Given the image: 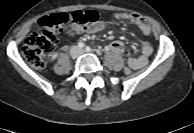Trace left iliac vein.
I'll use <instances>...</instances> for the list:
<instances>
[{
	"instance_id": "4c4485c4",
	"label": "left iliac vein",
	"mask_w": 194,
	"mask_h": 133,
	"mask_svg": "<svg viewBox=\"0 0 194 133\" xmlns=\"http://www.w3.org/2000/svg\"><path fill=\"white\" fill-rule=\"evenodd\" d=\"M81 53H85V51L84 50H81Z\"/></svg>"
}]
</instances>
